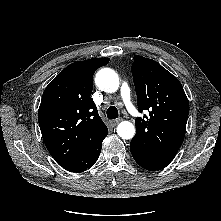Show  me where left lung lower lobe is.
I'll return each mask as SVG.
<instances>
[{
    "label": "left lung lower lobe",
    "mask_w": 221,
    "mask_h": 221,
    "mask_svg": "<svg viewBox=\"0 0 221 221\" xmlns=\"http://www.w3.org/2000/svg\"><path fill=\"white\" fill-rule=\"evenodd\" d=\"M130 150L134 160L144 169L155 171L163 169L169 164L168 162H161V161L144 158L140 156L139 153L135 151L131 146Z\"/></svg>",
    "instance_id": "0a47b994"
}]
</instances>
